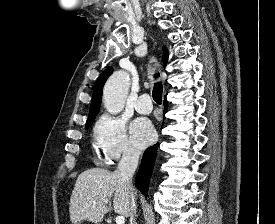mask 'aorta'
Returning a JSON list of instances; mask_svg holds the SVG:
<instances>
[{
    "label": "aorta",
    "mask_w": 275,
    "mask_h": 224,
    "mask_svg": "<svg viewBox=\"0 0 275 224\" xmlns=\"http://www.w3.org/2000/svg\"><path fill=\"white\" fill-rule=\"evenodd\" d=\"M129 87L130 78L126 71H117L108 79L103 90V100L109 113L116 115L124 109Z\"/></svg>",
    "instance_id": "1"
}]
</instances>
